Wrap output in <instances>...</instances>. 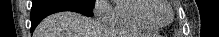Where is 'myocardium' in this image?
<instances>
[{"instance_id": "1", "label": "myocardium", "mask_w": 219, "mask_h": 37, "mask_svg": "<svg viewBox=\"0 0 219 37\" xmlns=\"http://www.w3.org/2000/svg\"><path fill=\"white\" fill-rule=\"evenodd\" d=\"M146 2H148L150 4V6H148L147 8H145L144 10V17L153 25L157 26V27H165L168 24H170L173 20V16H174V10L173 7L171 6L170 2L168 1H159V0H146ZM162 3H166L168 8L170 9L171 12V16L170 19L168 21L165 22H160L157 21L153 15L155 13V11L161 6Z\"/></svg>"}]
</instances>
